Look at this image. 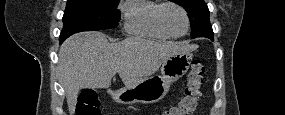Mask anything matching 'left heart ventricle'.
Wrapping results in <instances>:
<instances>
[{
	"label": "left heart ventricle",
	"instance_id": "b2bd125f",
	"mask_svg": "<svg viewBox=\"0 0 285 115\" xmlns=\"http://www.w3.org/2000/svg\"><path fill=\"white\" fill-rule=\"evenodd\" d=\"M163 21L173 34H181L186 28L183 13L176 7H167L164 10Z\"/></svg>",
	"mask_w": 285,
	"mask_h": 115
}]
</instances>
